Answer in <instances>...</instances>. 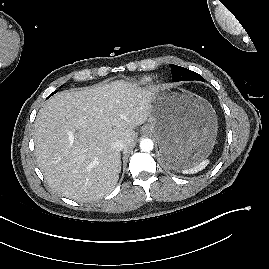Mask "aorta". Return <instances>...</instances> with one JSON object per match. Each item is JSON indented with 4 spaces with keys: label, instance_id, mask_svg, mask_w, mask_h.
Here are the masks:
<instances>
[{
    "label": "aorta",
    "instance_id": "obj_1",
    "mask_svg": "<svg viewBox=\"0 0 269 269\" xmlns=\"http://www.w3.org/2000/svg\"><path fill=\"white\" fill-rule=\"evenodd\" d=\"M153 147L154 144L151 139L145 138L140 141V149L144 152L152 151Z\"/></svg>",
    "mask_w": 269,
    "mask_h": 269
}]
</instances>
